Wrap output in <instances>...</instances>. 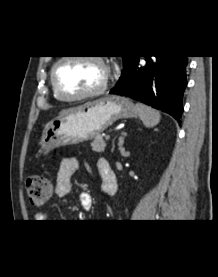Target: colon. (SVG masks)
<instances>
[{
	"label": "colon",
	"instance_id": "1",
	"mask_svg": "<svg viewBox=\"0 0 218 277\" xmlns=\"http://www.w3.org/2000/svg\"><path fill=\"white\" fill-rule=\"evenodd\" d=\"M26 190L33 205H43L53 194V184L42 175H31L27 179Z\"/></svg>",
	"mask_w": 218,
	"mask_h": 277
}]
</instances>
